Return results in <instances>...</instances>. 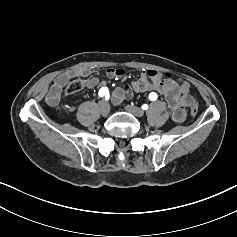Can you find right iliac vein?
Returning a JSON list of instances; mask_svg holds the SVG:
<instances>
[{
	"label": "right iliac vein",
	"instance_id": "63e3f726",
	"mask_svg": "<svg viewBox=\"0 0 237 237\" xmlns=\"http://www.w3.org/2000/svg\"><path fill=\"white\" fill-rule=\"evenodd\" d=\"M100 111L103 116H107L110 112V106L106 101L100 103Z\"/></svg>",
	"mask_w": 237,
	"mask_h": 237
}]
</instances>
